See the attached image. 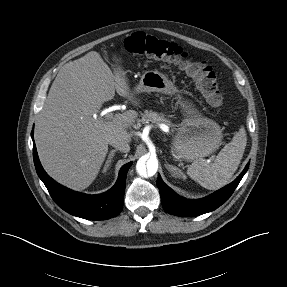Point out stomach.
<instances>
[{
	"label": "stomach",
	"mask_w": 287,
	"mask_h": 287,
	"mask_svg": "<svg viewBox=\"0 0 287 287\" xmlns=\"http://www.w3.org/2000/svg\"><path fill=\"white\" fill-rule=\"evenodd\" d=\"M159 92L172 95L178 92L166 75L157 71H146L134 87V93ZM184 119L172 141V150L176 158L192 161L212 154L222 141L220 126L199 112L189 100L178 97Z\"/></svg>",
	"instance_id": "stomach-1"
}]
</instances>
